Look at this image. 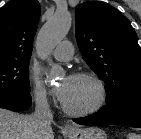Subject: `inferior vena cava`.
I'll use <instances>...</instances> for the list:
<instances>
[{
    "label": "inferior vena cava",
    "instance_id": "obj_1",
    "mask_svg": "<svg viewBox=\"0 0 141 139\" xmlns=\"http://www.w3.org/2000/svg\"><path fill=\"white\" fill-rule=\"evenodd\" d=\"M35 112L33 119L36 129V139H44L46 133L51 130L50 124L53 121V115L47 101L46 94L37 93L35 95Z\"/></svg>",
    "mask_w": 141,
    "mask_h": 139
}]
</instances>
